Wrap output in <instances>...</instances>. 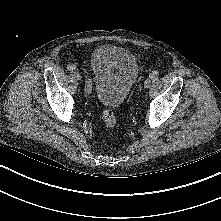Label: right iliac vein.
Wrapping results in <instances>:
<instances>
[{
  "label": "right iliac vein",
  "instance_id": "obj_1",
  "mask_svg": "<svg viewBox=\"0 0 221 221\" xmlns=\"http://www.w3.org/2000/svg\"><path fill=\"white\" fill-rule=\"evenodd\" d=\"M74 77L77 79V80H81V74L78 72V71H76V72H74Z\"/></svg>",
  "mask_w": 221,
  "mask_h": 221
}]
</instances>
